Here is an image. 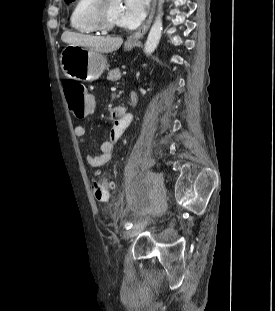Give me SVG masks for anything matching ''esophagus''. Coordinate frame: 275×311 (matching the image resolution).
I'll use <instances>...</instances> for the list:
<instances>
[{
  "instance_id": "obj_1",
  "label": "esophagus",
  "mask_w": 275,
  "mask_h": 311,
  "mask_svg": "<svg viewBox=\"0 0 275 311\" xmlns=\"http://www.w3.org/2000/svg\"><path fill=\"white\" fill-rule=\"evenodd\" d=\"M155 7H156V0H152L150 13L147 20L135 33H133L128 37L126 41L127 44H135L139 42V40L147 33L154 16Z\"/></svg>"
}]
</instances>
